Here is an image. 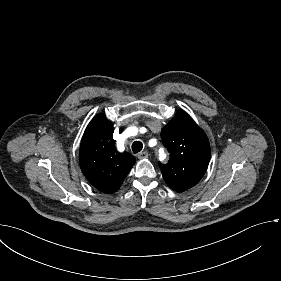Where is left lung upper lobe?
I'll return each mask as SVG.
<instances>
[{
    "label": "left lung upper lobe",
    "instance_id": "left-lung-upper-lobe-1",
    "mask_svg": "<svg viewBox=\"0 0 281 281\" xmlns=\"http://www.w3.org/2000/svg\"><path fill=\"white\" fill-rule=\"evenodd\" d=\"M161 138L170 153L166 165L159 163L167 185L177 192L196 185L210 159V145L204 131L186 112L178 111L162 129Z\"/></svg>",
    "mask_w": 281,
    "mask_h": 281
}]
</instances>
